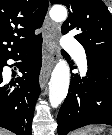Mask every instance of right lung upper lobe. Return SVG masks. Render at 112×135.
I'll list each match as a JSON object with an SVG mask.
<instances>
[{
	"label": "right lung upper lobe",
	"instance_id": "1",
	"mask_svg": "<svg viewBox=\"0 0 112 135\" xmlns=\"http://www.w3.org/2000/svg\"><path fill=\"white\" fill-rule=\"evenodd\" d=\"M47 0H0V61L25 48L42 34Z\"/></svg>",
	"mask_w": 112,
	"mask_h": 135
}]
</instances>
